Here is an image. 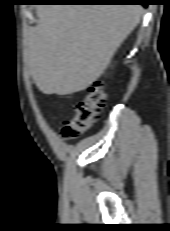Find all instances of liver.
<instances>
[{
	"label": "liver",
	"mask_w": 170,
	"mask_h": 231,
	"mask_svg": "<svg viewBox=\"0 0 170 231\" xmlns=\"http://www.w3.org/2000/svg\"><path fill=\"white\" fill-rule=\"evenodd\" d=\"M143 14L140 5H41L26 62L44 94L68 95L95 82Z\"/></svg>",
	"instance_id": "liver-1"
}]
</instances>
